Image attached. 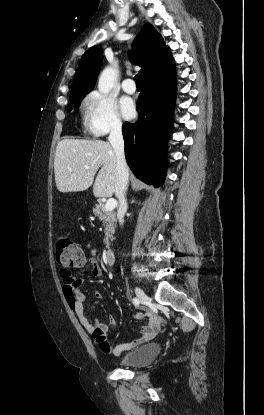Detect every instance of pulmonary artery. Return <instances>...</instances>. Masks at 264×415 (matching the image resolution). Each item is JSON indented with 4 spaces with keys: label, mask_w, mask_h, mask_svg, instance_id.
Masks as SVG:
<instances>
[{
    "label": "pulmonary artery",
    "mask_w": 264,
    "mask_h": 415,
    "mask_svg": "<svg viewBox=\"0 0 264 415\" xmlns=\"http://www.w3.org/2000/svg\"><path fill=\"white\" fill-rule=\"evenodd\" d=\"M122 88L128 94H133L136 91V86L131 78H127L123 81Z\"/></svg>",
    "instance_id": "obj_1"
}]
</instances>
